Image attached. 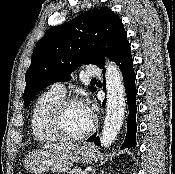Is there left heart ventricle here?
Returning <instances> with one entry per match:
<instances>
[{
  "instance_id": "b2bd125f",
  "label": "left heart ventricle",
  "mask_w": 175,
  "mask_h": 174,
  "mask_svg": "<svg viewBox=\"0 0 175 174\" xmlns=\"http://www.w3.org/2000/svg\"><path fill=\"white\" fill-rule=\"evenodd\" d=\"M92 120L86 112L83 104L75 103L69 105L61 117L62 129L70 134L77 135L88 129Z\"/></svg>"
}]
</instances>
